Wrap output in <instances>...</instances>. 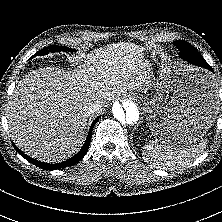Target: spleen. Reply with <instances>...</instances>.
I'll use <instances>...</instances> for the list:
<instances>
[{
	"mask_svg": "<svg viewBox=\"0 0 222 222\" xmlns=\"http://www.w3.org/2000/svg\"><path fill=\"white\" fill-rule=\"evenodd\" d=\"M207 142L169 146L161 141H151L142 150L144 160L154 167L172 168L192 163L204 151Z\"/></svg>",
	"mask_w": 222,
	"mask_h": 222,
	"instance_id": "1",
	"label": "spleen"
}]
</instances>
